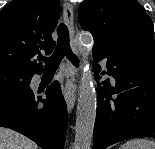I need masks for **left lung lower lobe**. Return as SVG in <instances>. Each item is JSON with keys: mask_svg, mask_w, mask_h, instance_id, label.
<instances>
[{"mask_svg": "<svg viewBox=\"0 0 155 149\" xmlns=\"http://www.w3.org/2000/svg\"><path fill=\"white\" fill-rule=\"evenodd\" d=\"M92 53L95 60L107 59V74L116 80L115 88L109 79L97 88L93 149L126 139L155 138V49L93 48ZM99 68L93 65L95 74Z\"/></svg>", "mask_w": 155, "mask_h": 149, "instance_id": "0a47b994", "label": "left lung lower lobe"}]
</instances>
